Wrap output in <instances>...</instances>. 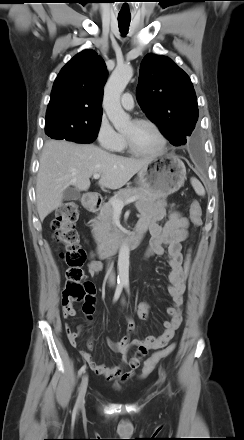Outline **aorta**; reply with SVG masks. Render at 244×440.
<instances>
[{"instance_id":"obj_1","label":"aorta","mask_w":244,"mask_h":440,"mask_svg":"<svg viewBox=\"0 0 244 440\" xmlns=\"http://www.w3.org/2000/svg\"><path fill=\"white\" fill-rule=\"evenodd\" d=\"M133 76V69L130 65L117 66L112 72L104 90L103 107L115 127L121 131L127 127L130 117L121 107L120 98L127 84ZM129 257L130 250L127 244H123L118 255V280L127 282L129 280Z\"/></svg>"}]
</instances>
